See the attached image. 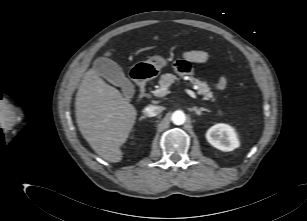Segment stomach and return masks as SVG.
<instances>
[{"mask_svg":"<svg viewBox=\"0 0 307 221\" xmlns=\"http://www.w3.org/2000/svg\"><path fill=\"white\" fill-rule=\"evenodd\" d=\"M167 65V59L162 56H152L147 61L139 62L136 67L145 68L148 73L146 77H155L160 70Z\"/></svg>","mask_w":307,"mask_h":221,"instance_id":"1","label":"stomach"}]
</instances>
